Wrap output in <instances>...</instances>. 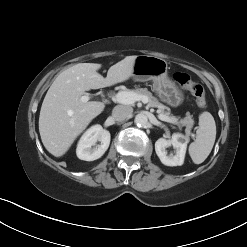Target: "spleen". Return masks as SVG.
<instances>
[{
	"label": "spleen",
	"mask_w": 247,
	"mask_h": 247,
	"mask_svg": "<svg viewBox=\"0 0 247 247\" xmlns=\"http://www.w3.org/2000/svg\"><path fill=\"white\" fill-rule=\"evenodd\" d=\"M216 139V125L209 112L199 116L196 139L189 145V154L195 164H201L209 156Z\"/></svg>",
	"instance_id": "1"
}]
</instances>
